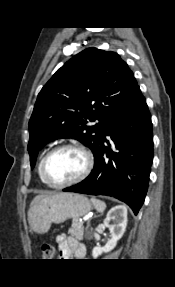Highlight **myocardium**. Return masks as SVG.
I'll list each match as a JSON object with an SVG mask.
<instances>
[{
  "label": "myocardium",
  "instance_id": "myocardium-1",
  "mask_svg": "<svg viewBox=\"0 0 175 287\" xmlns=\"http://www.w3.org/2000/svg\"><path fill=\"white\" fill-rule=\"evenodd\" d=\"M62 149H75V150L81 152L85 158V167H84L83 171L74 179L69 180V181L64 182V183H54L48 178L47 163L54 153H56L57 151H60ZM93 166H94L93 155L86 147H84L83 145L78 144V143H63V144H60V145L52 148L50 151H48L45 154L43 161H42V164H41V176H42L43 181L48 186L53 187V188H64V187H68V186L80 183L84 179H86L88 177V175L91 173Z\"/></svg>",
  "mask_w": 175,
  "mask_h": 287
}]
</instances>
